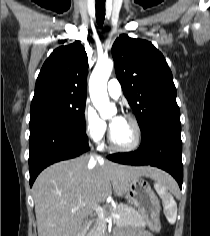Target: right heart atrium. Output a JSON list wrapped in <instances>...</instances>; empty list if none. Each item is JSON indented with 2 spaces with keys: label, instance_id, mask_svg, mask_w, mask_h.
Here are the masks:
<instances>
[{
  "label": "right heart atrium",
  "instance_id": "d8ad5b80",
  "mask_svg": "<svg viewBox=\"0 0 210 236\" xmlns=\"http://www.w3.org/2000/svg\"><path fill=\"white\" fill-rule=\"evenodd\" d=\"M83 126L86 136L93 142H101L106 134V124L95 109L87 103L83 110Z\"/></svg>",
  "mask_w": 210,
  "mask_h": 236
}]
</instances>
